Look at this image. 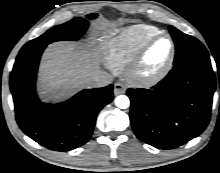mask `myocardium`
Here are the masks:
<instances>
[{
    "instance_id": "obj_1",
    "label": "myocardium",
    "mask_w": 220,
    "mask_h": 173,
    "mask_svg": "<svg viewBox=\"0 0 220 173\" xmlns=\"http://www.w3.org/2000/svg\"><path fill=\"white\" fill-rule=\"evenodd\" d=\"M167 38L170 43V51L166 63L156 72L152 74H145L142 70L144 57L149 48L159 39ZM176 56V45L172 36L166 32H160L149 39H147L138 49L132 62L126 69L127 80L137 86L148 88L158 84L171 71Z\"/></svg>"
}]
</instances>
